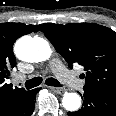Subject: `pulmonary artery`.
<instances>
[{
	"mask_svg": "<svg viewBox=\"0 0 116 116\" xmlns=\"http://www.w3.org/2000/svg\"><path fill=\"white\" fill-rule=\"evenodd\" d=\"M50 68L54 74L65 84L72 88L80 89L83 87V82L76 76L75 73L67 70L65 66L57 59L50 63ZM24 79L23 75H16L15 80L21 81Z\"/></svg>",
	"mask_w": 116,
	"mask_h": 116,
	"instance_id": "1",
	"label": "pulmonary artery"
}]
</instances>
